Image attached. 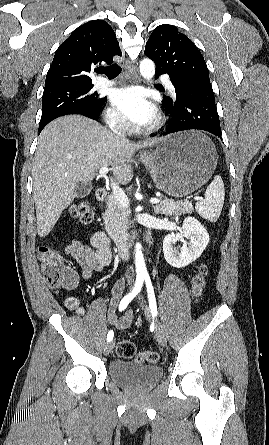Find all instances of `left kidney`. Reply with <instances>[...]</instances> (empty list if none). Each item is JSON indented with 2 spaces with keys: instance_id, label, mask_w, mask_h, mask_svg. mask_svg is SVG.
Returning <instances> with one entry per match:
<instances>
[{
  "instance_id": "1",
  "label": "left kidney",
  "mask_w": 269,
  "mask_h": 445,
  "mask_svg": "<svg viewBox=\"0 0 269 445\" xmlns=\"http://www.w3.org/2000/svg\"><path fill=\"white\" fill-rule=\"evenodd\" d=\"M189 239L180 249L174 245L177 241ZM209 234L203 225L193 217L185 218L181 233L169 234L163 240V252L166 261L173 267L182 268L200 257L209 243Z\"/></svg>"
}]
</instances>
